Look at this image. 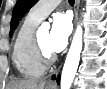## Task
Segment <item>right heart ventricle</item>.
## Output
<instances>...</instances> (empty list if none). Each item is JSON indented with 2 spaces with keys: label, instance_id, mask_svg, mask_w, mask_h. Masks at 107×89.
I'll use <instances>...</instances> for the list:
<instances>
[{
  "label": "right heart ventricle",
  "instance_id": "e07e8e85",
  "mask_svg": "<svg viewBox=\"0 0 107 89\" xmlns=\"http://www.w3.org/2000/svg\"><path fill=\"white\" fill-rule=\"evenodd\" d=\"M39 22L28 14L13 43V63L17 71L27 78L40 77L45 71V67L38 62L33 50V39Z\"/></svg>",
  "mask_w": 107,
  "mask_h": 89
}]
</instances>
